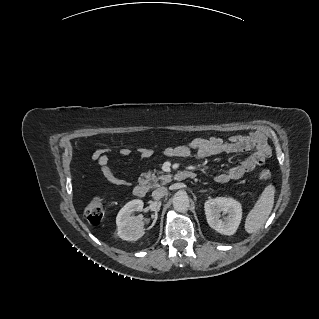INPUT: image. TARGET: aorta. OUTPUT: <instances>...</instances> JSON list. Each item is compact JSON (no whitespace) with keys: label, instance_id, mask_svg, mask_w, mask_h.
I'll return each instance as SVG.
<instances>
[{"label":"aorta","instance_id":"762f6f07","mask_svg":"<svg viewBox=\"0 0 319 319\" xmlns=\"http://www.w3.org/2000/svg\"><path fill=\"white\" fill-rule=\"evenodd\" d=\"M190 206L189 197L185 191H178L173 197V207L177 212L184 213Z\"/></svg>","mask_w":319,"mask_h":319}]
</instances>
